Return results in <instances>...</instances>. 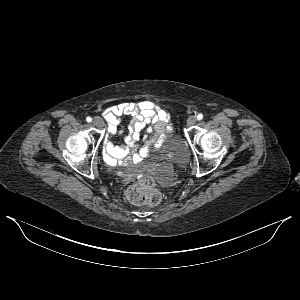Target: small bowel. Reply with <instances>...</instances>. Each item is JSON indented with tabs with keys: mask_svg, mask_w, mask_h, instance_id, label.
<instances>
[{
	"mask_svg": "<svg viewBox=\"0 0 300 300\" xmlns=\"http://www.w3.org/2000/svg\"><path fill=\"white\" fill-rule=\"evenodd\" d=\"M103 116L107 122L109 133V138L104 146V158L112 167L129 159H133L135 162L141 161L170 129L168 112L150 100L121 102L105 109ZM124 116L131 117L132 122L123 138V144L118 146L110 138L121 133L119 124ZM143 132H146V135L143 145L139 146L137 143Z\"/></svg>",
	"mask_w": 300,
	"mask_h": 300,
	"instance_id": "1",
	"label": "small bowel"
}]
</instances>
